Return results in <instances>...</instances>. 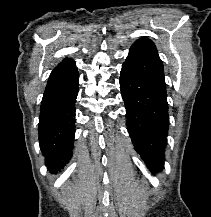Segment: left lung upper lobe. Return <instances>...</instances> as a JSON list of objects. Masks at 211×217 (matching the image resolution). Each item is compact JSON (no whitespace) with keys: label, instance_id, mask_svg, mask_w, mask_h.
<instances>
[{"label":"left lung upper lobe","instance_id":"obj_1","mask_svg":"<svg viewBox=\"0 0 211 217\" xmlns=\"http://www.w3.org/2000/svg\"><path fill=\"white\" fill-rule=\"evenodd\" d=\"M124 64L140 72L166 91L163 63L150 39L144 37L138 39L131 46Z\"/></svg>","mask_w":211,"mask_h":217}]
</instances>
